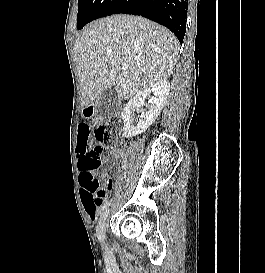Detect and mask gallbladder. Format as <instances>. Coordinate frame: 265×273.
Returning <instances> with one entry per match:
<instances>
[{"label":"gallbladder","mask_w":265,"mask_h":273,"mask_svg":"<svg viewBox=\"0 0 265 273\" xmlns=\"http://www.w3.org/2000/svg\"><path fill=\"white\" fill-rule=\"evenodd\" d=\"M120 105V99L114 86L106 89L98 99L97 110L100 115L109 117Z\"/></svg>","instance_id":"gallbladder-1"}]
</instances>
